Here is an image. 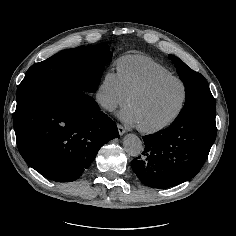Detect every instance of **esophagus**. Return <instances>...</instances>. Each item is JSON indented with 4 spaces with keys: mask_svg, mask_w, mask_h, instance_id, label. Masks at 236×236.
<instances>
[{
    "mask_svg": "<svg viewBox=\"0 0 236 236\" xmlns=\"http://www.w3.org/2000/svg\"><path fill=\"white\" fill-rule=\"evenodd\" d=\"M117 128H118V131H119L120 135H123L125 133V129L119 123L117 124Z\"/></svg>",
    "mask_w": 236,
    "mask_h": 236,
    "instance_id": "obj_1",
    "label": "esophagus"
}]
</instances>
